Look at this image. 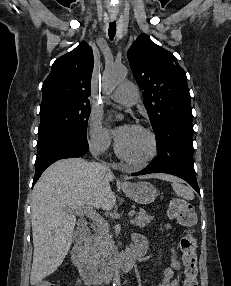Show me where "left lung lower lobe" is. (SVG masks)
<instances>
[{"mask_svg": "<svg viewBox=\"0 0 231 286\" xmlns=\"http://www.w3.org/2000/svg\"><path fill=\"white\" fill-rule=\"evenodd\" d=\"M156 134L157 157L133 176L169 173L187 181L199 194L193 164V125L190 120H170Z\"/></svg>", "mask_w": 231, "mask_h": 286, "instance_id": "obj_1", "label": "left lung lower lobe"}]
</instances>
